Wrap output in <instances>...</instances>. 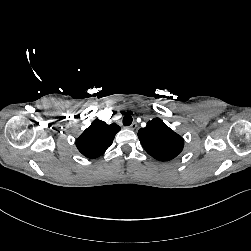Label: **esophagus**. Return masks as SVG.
<instances>
[{
    "label": "esophagus",
    "mask_w": 251,
    "mask_h": 251,
    "mask_svg": "<svg viewBox=\"0 0 251 251\" xmlns=\"http://www.w3.org/2000/svg\"><path fill=\"white\" fill-rule=\"evenodd\" d=\"M130 130H135L137 128V124L133 122L129 127Z\"/></svg>",
    "instance_id": "obj_1"
}]
</instances>
